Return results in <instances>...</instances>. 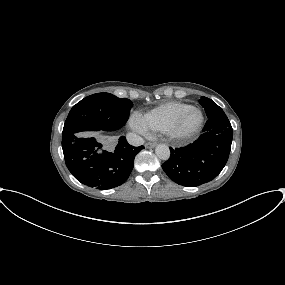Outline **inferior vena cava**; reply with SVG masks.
Listing matches in <instances>:
<instances>
[{"label": "inferior vena cava", "mask_w": 285, "mask_h": 285, "mask_svg": "<svg viewBox=\"0 0 285 285\" xmlns=\"http://www.w3.org/2000/svg\"><path fill=\"white\" fill-rule=\"evenodd\" d=\"M126 139L128 143L132 146H141L144 144V140L141 136L137 135L136 133H127Z\"/></svg>", "instance_id": "602c4592"}]
</instances>
